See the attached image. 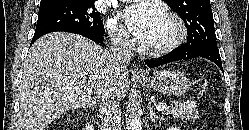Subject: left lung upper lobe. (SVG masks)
I'll return each mask as SVG.
<instances>
[{
    "label": "left lung upper lobe",
    "instance_id": "1",
    "mask_svg": "<svg viewBox=\"0 0 249 130\" xmlns=\"http://www.w3.org/2000/svg\"><path fill=\"white\" fill-rule=\"evenodd\" d=\"M184 21L187 42L183 46L217 47L210 0H164Z\"/></svg>",
    "mask_w": 249,
    "mask_h": 130
}]
</instances>
